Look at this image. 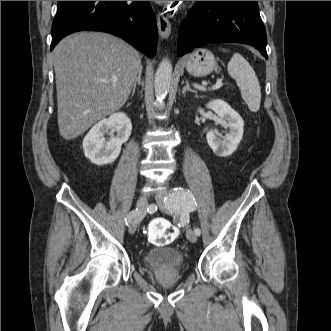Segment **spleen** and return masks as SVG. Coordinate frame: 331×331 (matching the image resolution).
<instances>
[{
	"label": "spleen",
	"mask_w": 331,
	"mask_h": 331,
	"mask_svg": "<svg viewBox=\"0 0 331 331\" xmlns=\"http://www.w3.org/2000/svg\"><path fill=\"white\" fill-rule=\"evenodd\" d=\"M228 74L241 89V96L252 112H257L261 103V88L255 71L239 53H234L227 66Z\"/></svg>",
	"instance_id": "spleen-1"
}]
</instances>
